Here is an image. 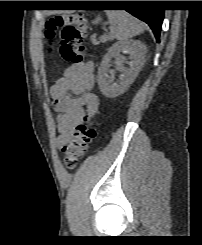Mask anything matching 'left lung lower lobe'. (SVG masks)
Listing matches in <instances>:
<instances>
[{"label": "left lung lower lobe", "instance_id": "1", "mask_svg": "<svg viewBox=\"0 0 202 245\" xmlns=\"http://www.w3.org/2000/svg\"><path fill=\"white\" fill-rule=\"evenodd\" d=\"M107 6L128 7L126 11L138 19L146 22L152 29L157 42H159L164 10L150 8L153 1H104Z\"/></svg>", "mask_w": 202, "mask_h": 245}]
</instances>
